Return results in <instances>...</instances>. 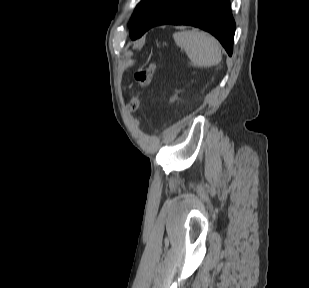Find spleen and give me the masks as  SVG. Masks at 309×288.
<instances>
[{
    "label": "spleen",
    "mask_w": 309,
    "mask_h": 288,
    "mask_svg": "<svg viewBox=\"0 0 309 288\" xmlns=\"http://www.w3.org/2000/svg\"><path fill=\"white\" fill-rule=\"evenodd\" d=\"M174 40L197 67H212L222 59L219 42L206 32L182 31L174 35Z\"/></svg>",
    "instance_id": "obj_1"
}]
</instances>
